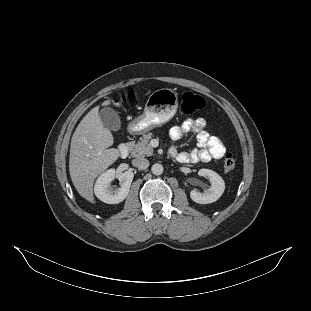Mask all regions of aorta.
Listing matches in <instances>:
<instances>
[{"label": "aorta", "mask_w": 311, "mask_h": 311, "mask_svg": "<svg viewBox=\"0 0 311 311\" xmlns=\"http://www.w3.org/2000/svg\"><path fill=\"white\" fill-rule=\"evenodd\" d=\"M151 171L154 175H161L164 171V168L161 164L155 163L152 165Z\"/></svg>", "instance_id": "762f6f07"}]
</instances>
